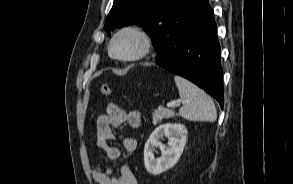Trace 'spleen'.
<instances>
[{
    "label": "spleen",
    "mask_w": 293,
    "mask_h": 184,
    "mask_svg": "<svg viewBox=\"0 0 293 184\" xmlns=\"http://www.w3.org/2000/svg\"><path fill=\"white\" fill-rule=\"evenodd\" d=\"M179 95L185 104L179 109V114L189 121L214 122L217 111L212 99L199 87L181 76L174 77Z\"/></svg>",
    "instance_id": "spleen-1"
}]
</instances>
